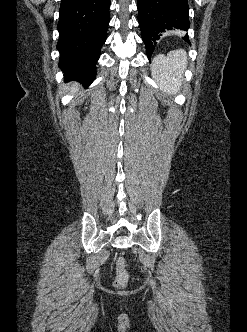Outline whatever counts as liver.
<instances>
[{
  "label": "liver",
  "mask_w": 247,
  "mask_h": 332,
  "mask_svg": "<svg viewBox=\"0 0 247 332\" xmlns=\"http://www.w3.org/2000/svg\"><path fill=\"white\" fill-rule=\"evenodd\" d=\"M78 90V86L76 84H74L72 86V92H76Z\"/></svg>",
  "instance_id": "obj_1"
}]
</instances>
